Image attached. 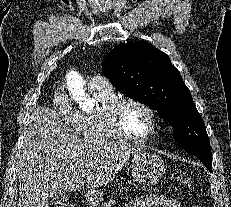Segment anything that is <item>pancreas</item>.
<instances>
[{
  "mask_svg": "<svg viewBox=\"0 0 231 207\" xmlns=\"http://www.w3.org/2000/svg\"><path fill=\"white\" fill-rule=\"evenodd\" d=\"M113 205H115V200L102 203V207H112Z\"/></svg>",
  "mask_w": 231,
  "mask_h": 207,
  "instance_id": "cf45deb5",
  "label": "pancreas"
}]
</instances>
